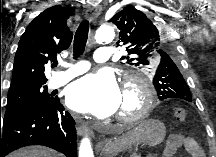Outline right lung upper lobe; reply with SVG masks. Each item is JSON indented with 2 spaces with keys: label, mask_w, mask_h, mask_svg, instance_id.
Masks as SVG:
<instances>
[{
  "label": "right lung upper lobe",
  "mask_w": 216,
  "mask_h": 157,
  "mask_svg": "<svg viewBox=\"0 0 216 157\" xmlns=\"http://www.w3.org/2000/svg\"><path fill=\"white\" fill-rule=\"evenodd\" d=\"M73 14L74 9L55 5L28 25L16 51L9 92L46 83L45 65L71 44L73 34L66 22Z\"/></svg>",
  "instance_id": "cb5924a9"
}]
</instances>
